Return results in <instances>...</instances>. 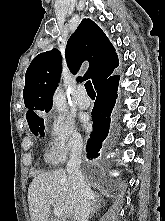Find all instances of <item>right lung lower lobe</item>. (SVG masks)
I'll list each match as a JSON object with an SVG mask.
<instances>
[{"instance_id":"1","label":"right lung lower lobe","mask_w":165,"mask_h":221,"mask_svg":"<svg viewBox=\"0 0 165 221\" xmlns=\"http://www.w3.org/2000/svg\"><path fill=\"white\" fill-rule=\"evenodd\" d=\"M118 83L119 76L112 75L95 87L97 98L92 110L94 130L86 146L88 160L97 158L100 155L102 144L109 134L110 115L117 99Z\"/></svg>"}]
</instances>
